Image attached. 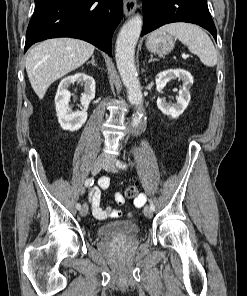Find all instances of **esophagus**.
<instances>
[{
    "label": "esophagus",
    "instance_id": "obj_1",
    "mask_svg": "<svg viewBox=\"0 0 247 296\" xmlns=\"http://www.w3.org/2000/svg\"><path fill=\"white\" fill-rule=\"evenodd\" d=\"M137 8L136 0H124V14L126 17L132 15Z\"/></svg>",
    "mask_w": 247,
    "mask_h": 296
}]
</instances>
